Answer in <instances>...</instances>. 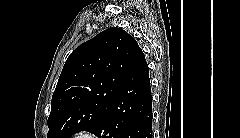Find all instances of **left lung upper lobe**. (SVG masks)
I'll return each instance as SVG.
<instances>
[{
    "instance_id": "5c2ea615",
    "label": "left lung upper lobe",
    "mask_w": 240,
    "mask_h": 138,
    "mask_svg": "<svg viewBox=\"0 0 240 138\" xmlns=\"http://www.w3.org/2000/svg\"><path fill=\"white\" fill-rule=\"evenodd\" d=\"M120 28H108L68 57L52 96L47 138L94 132L140 52Z\"/></svg>"
}]
</instances>
